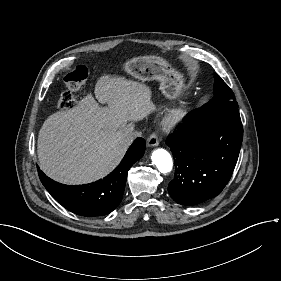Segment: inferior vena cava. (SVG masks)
Here are the masks:
<instances>
[{
  "instance_id": "1",
  "label": "inferior vena cava",
  "mask_w": 281,
  "mask_h": 281,
  "mask_svg": "<svg viewBox=\"0 0 281 281\" xmlns=\"http://www.w3.org/2000/svg\"><path fill=\"white\" fill-rule=\"evenodd\" d=\"M139 135V133H136V132H128L126 133L125 135V141L128 143V144H131L133 142V140Z\"/></svg>"
}]
</instances>
